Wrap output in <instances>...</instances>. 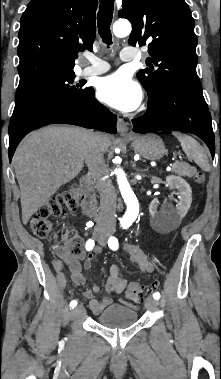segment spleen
<instances>
[{"label":"spleen","instance_id":"spleen-1","mask_svg":"<svg viewBox=\"0 0 221 379\" xmlns=\"http://www.w3.org/2000/svg\"><path fill=\"white\" fill-rule=\"evenodd\" d=\"M179 140L183 151L189 160H193L203 171L210 170V164L204 148L191 136L173 133Z\"/></svg>","mask_w":221,"mask_h":379}]
</instances>
